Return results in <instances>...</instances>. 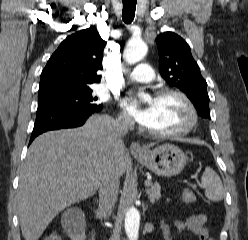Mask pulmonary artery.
Segmentation results:
<instances>
[{"mask_svg":"<svg viewBox=\"0 0 248 240\" xmlns=\"http://www.w3.org/2000/svg\"><path fill=\"white\" fill-rule=\"evenodd\" d=\"M127 77L133 81L148 83L153 80L154 73L148 64L141 63L128 73Z\"/></svg>","mask_w":248,"mask_h":240,"instance_id":"pulmonary-artery-1","label":"pulmonary artery"}]
</instances>
